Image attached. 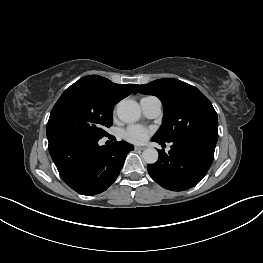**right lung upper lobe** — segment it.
I'll use <instances>...</instances> for the list:
<instances>
[{
	"label": "right lung upper lobe",
	"mask_w": 263,
	"mask_h": 263,
	"mask_svg": "<svg viewBox=\"0 0 263 263\" xmlns=\"http://www.w3.org/2000/svg\"><path fill=\"white\" fill-rule=\"evenodd\" d=\"M137 86V84H116L107 78L98 75H89L79 79L64 92L72 90L87 91L114 106L132 92L136 93Z\"/></svg>",
	"instance_id": "cb5924a9"
}]
</instances>
